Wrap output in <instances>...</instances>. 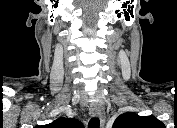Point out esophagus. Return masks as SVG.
I'll return each instance as SVG.
<instances>
[{
  "label": "esophagus",
  "instance_id": "1",
  "mask_svg": "<svg viewBox=\"0 0 177 128\" xmlns=\"http://www.w3.org/2000/svg\"><path fill=\"white\" fill-rule=\"evenodd\" d=\"M89 113L92 117L100 118L101 122H104L105 116L103 108L97 105H92L89 109Z\"/></svg>",
  "mask_w": 177,
  "mask_h": 128
}]
</instances>
